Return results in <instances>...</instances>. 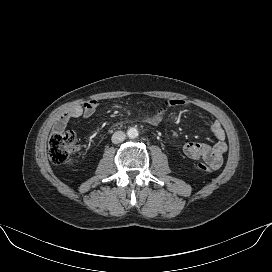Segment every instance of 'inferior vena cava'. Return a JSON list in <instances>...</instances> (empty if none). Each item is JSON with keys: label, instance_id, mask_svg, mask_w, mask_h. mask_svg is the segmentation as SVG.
<instances>
[{"label": "inferior vena cava", "instance_id": "obj_1", "mask_svg": "<svg viewBox=\"0 0 272 272\" xmlns=\"http://www.w3.org/2000/svg\"><path fill=\"white\" fill-rule=\"evenodd\" d=\"M125 137H126V135L123 131H117L112 135L111 140L114 144H118V143L124 141Z\"/></svg>", "mask_w": 272, "mask_h": 272}]
</instances>
